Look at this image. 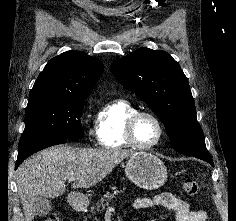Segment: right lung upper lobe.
<instances>
[{
	"label": "right lung upper lobe",
	"instance_id": "cb5924a9",
	"mask_svg": "<svg viewBox=\"0 0 236 221\" xmlns=\"http://www.w3.org/2000/svg\"><path fill=\"white\" fill-rule=\"evenodd\" d=\"M103 69L94 57L74 50L64 52L47 63L29 97L87 98Z\"/></svg>",
	"mask_w": 236,
	"mask_h": 221
}]
</instances>
